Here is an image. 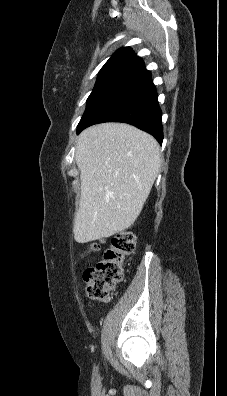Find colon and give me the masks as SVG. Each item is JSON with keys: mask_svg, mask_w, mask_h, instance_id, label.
Returning <instances> with one entry per match:
<instances>
[{"mask_svg": "<svg viewBox=\"0 0 227 396\" xmlns=\"http://www.w3.org/2000/svg\"><path fill=\"white\" fill-rule=\"evenodd\" d=\"M136 247L135 235L130 231L118 233L94 267L84 272L88 296L100 302L110 299L113 291L123 281L124 261L133 254ZM100 249L99 242L90 244L88 252Z\"/></svg>", "mask_w": 227, "mask_h": 396, "instance_id": "1", "label": "colon"}]
</instances>
